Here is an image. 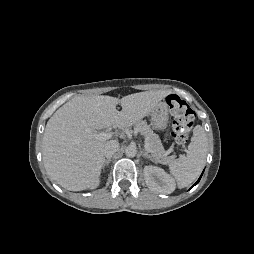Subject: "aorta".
<instances>
[{
	"label": "aorta",
	"mask_w": 254,
	"mask_h": 254,
	"mask_svg": "<svg viewBox=\"0 0 254 254\" xmlns=\"http://www.w3.org/2000/svg\"><path fill=\"white\" fill-rule=\"evenodd\" d=\"M137 154V149L134 145H129L126 149H125V155L127 157H135Z\"/></svg>",
	"instance_id": "obj_1"
}]
</instances>
